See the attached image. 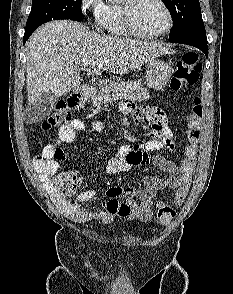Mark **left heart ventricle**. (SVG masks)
<instances>
[{"instance_id": "obj_1", "label": "left heart ventricle", "mask_w": 233, "mask_h": 294, "mask_svg": "<svg viewBox=\"0 0 233 294\" xmlns=\"http://www.w3.org/2000/svg\"><path fill=\"white\" fill-rule=\"evenodd\" d=\"M134 14L138 28L145 33H158L167 26V15L156 0H140Z\"/></svg>"}]
</instances>
